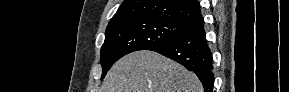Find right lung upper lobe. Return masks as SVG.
Instances as JSON below:
<instances>
[{
	"label": "right lung upper lobe",
	"instance_id": "1",
	"mask_svg": "<svg viewBox=\"0 0 289 92\" xmlns=\"http://www.w3.org/2000/svg\"><path fill=\"white\" fill-rule=\"evenodd\" d=\"M201 16L197 0H124L109 25L130 18H157L188 26Z\"/></svg>",
	"mask_w": 289,
	"mask_h": 92
}]
</instances>
